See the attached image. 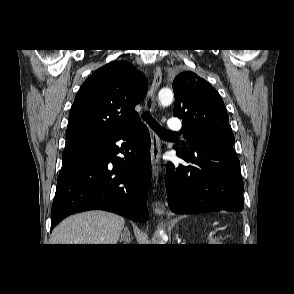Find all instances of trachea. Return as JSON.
Returning a JSON list of instances; mask_svg holds the SVG:
<instances>
[{"label":"trachea","mask_w":294,"mask_h":294,"mask_svg":"<svg viewBox=\"0 0 294 294\" xmlns=\"http://www.w3.org/2000/svg\"><path fill=\"white\" fill-rule=\"evenodd\" d=\"M143 119L149 124V126L161 137H167L170 135H176L175 132L169 131L162 127L150 114L149 111L144 113Z\"/></svg>","instance_id":"obj_1"}]
</instances>
